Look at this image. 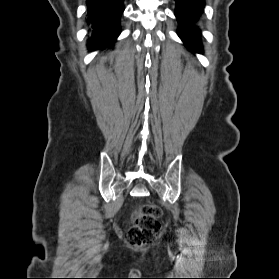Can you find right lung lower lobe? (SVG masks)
Listing matches in <instances>:
<instances>
[{"mask_svg": "<svg viewBox=\"0 0 279 279\" xmlns=\"http://www.w3.org/2000/svg\"><path fill=\"white\" fill-rule=\"evenodd\" d=\"M124 0H88L87 16L91 37L88 49L96 50L113 45L120 33V17L124 11Z\"/></svg>", "mask_w": 279, "mask_h": 279, "instance_id": "1", "label": "right lung lower lobe"}]
</instances>
